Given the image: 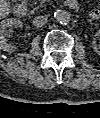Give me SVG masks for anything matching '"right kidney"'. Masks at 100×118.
<instances>
[{
  "label": "right kidney",
  "instance_id": "ca27d5eb",
  "mask_svg": "<svg viewBox=\"0 0 100 118\" xmlns=\"http://www.w3.org/2000/svg\"><path fill=\"white\" fill-rule=\"evenodd\" d=\"M22 22L17 18H8L0 22V49L6 52H14L17 49V46L14 44L7 43V37L9 32L7 31L8 27L11 26H21Z\"/></svg>",
  "mask_w": 100,
  "mask_h": 118
}]
</instances>
